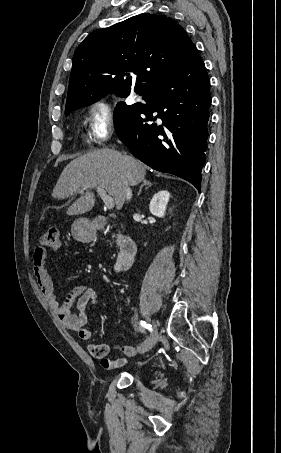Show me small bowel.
I'll list each match as a JSON object with an SVG mask.
<instances>
[{
	"mask_svg": "<svg viewBox=\"0 0 281 453\" xmlns=\"http://www.w3.org/2000/svg\"><path fill=\"white\" fill-rule=\"evenodd\" d=\"M48 255L45 250H37L33 255V274L38 286L46 299L49 307L54 310L62 324L69 330L77 332L78 336L84 341L92 338L91 329L87 328L89 321L88 308L96 307L98 303V292L86 285L81 284L71 288L65 297L64 305H61L57 294L54 292L52 278L47 271ZM77 301L78 312L72 314L69 305ZM89 354L99 360L103 368L107 371L116 370L127 363L126 357L112 359L109 356L110 347L106 344L88 343L86 346ZM120 350L126 355L138 353V348L134 346H122Z\"/></svg>",
	"mask_w": 281,
	"mask_h": 453,
	"instance_id": "obj_1",
	"label": "small bowel"
}]
</instances>
